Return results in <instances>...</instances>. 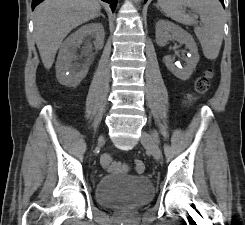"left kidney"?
I'll list each match as a JSON object with an SVG mask.
<instances>
[{
	"mask_svg": "<svg viewBox=\"0 0 245 225\" xmlns=\"http://www.w3.org/2000/svg\"><path fill=\"white\" fill-rule=\"evenodd\" d=\"M156 43L163 47L167 42L174 38L180 44H185L188 49V56L184 58L185 66L181 67L174 63L171 56H165L163 61L169 71H171L177 78L187 80L192 75L199 61V54L197 45L193 37L184 29L166 20H159L156 24Z\"/></svg>",
	"mask_w": 245,
	"mask_h": 225,
	"instance_id": "5707ae66",
	"label": "left kidney"
}]
</instances>
